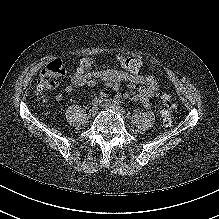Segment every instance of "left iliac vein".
I'll list each match as a JSON object with an SVG mask.
<instances>
[{"label":"left iliac vein","instance_id":"4c4485c4","mask_svg":"<svg viewBox=\"0 0 219 219\" xmlns=\"http://www.w3.org/2000/svg\"><path fill=\"white\" fill-rule=\"evenodd\" d=\"M102 107L105 108V109H109V110H113V111H116V112H120L119 107L114 105L109 100H104V102L102 103Z\"/></svg>","mask_w":219,"mask_h":219}]
</instances>
